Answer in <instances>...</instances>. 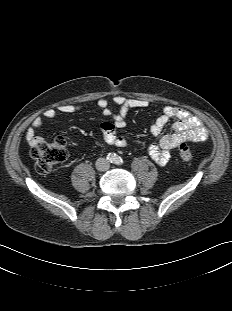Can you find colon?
I'll return each mask as SVG.
<instances>
[{
  "label": "colon",
  "instance_id": "5ec220e1",
  "mask_svg": "<svg viewBox=\"0 0 232 311\" xmlns=\"http://www.w3.org/2000/svg\"><path fill=\"white\" fill-rule=\"evenodd\" d=\"M178 154L183 162L190 163L193 159L191 149L185 144L180 145ZM67 155V144L62 138L51 142H38L31 149V156L35 160V168L39 173L49 172L54 166L63 162Z\"/></svg>",
  "mask_w": 232,
  "mask_h": 311
}]
</instances>
